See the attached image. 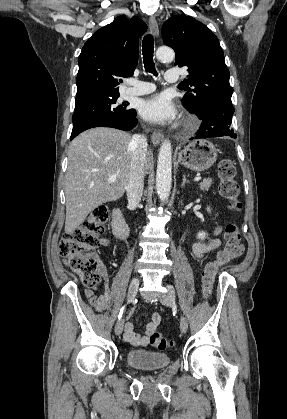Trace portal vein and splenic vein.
Returning <instances> with one entry per match:
<instances>
[{"instance_id": "1", "label": "portal vein and splenic vein", "mask_w": 287, "mask_h": 419, "mask_svg": "<svg viewBox=\"0 0 287 419\" xmlns=\"http://www.w3.org/2000/svg\"><path fill=\"white\" fill-rule=\"evenodd\" d=\"M202 178L199 176V177H196L195 179H194V181L195 182H198V181H200ZM116 180V175H113V176H110L109 177V179H108V181L109 182H113V181H115Z\"/></svg>"}]
</instances>
